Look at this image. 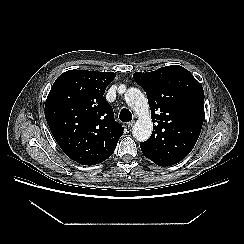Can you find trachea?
Segmentation results:
<instances>
[{"instance_id": "obj_1", "label": "trachea", "mask_w": 244, "mask_h": 244, "mask_svg": "<svg viewBox=\"0 0 244 244\" xmlns=\"http://www.w3.org/2000/svg\"><path fill=\"white\" fill-rule=\"evenodd\" d=\"M119 118L123 122H128L132 120V114L127 108H123L120 111Z\"/></svg>"}]
</instances>
